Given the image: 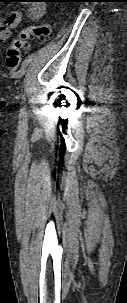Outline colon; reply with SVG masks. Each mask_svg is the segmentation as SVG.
I'll use <instances>...</instances> for the list:
<instances>
[{"label":"colon","instance_id":"colon-1","mask_svg":"<svg viewBox=\"0 0 127 303\" xmlns=\"http://www.w3.org/2000/svg\"><path fill=\"white\" fill-rule=\"evenodd\" d=\"M52 30V23L30 25L24 28L17 38L13 40L6 53V64L9 71L16 70L21 62L22 51L27 49L28 39L48 37Z\"/></svg>","mask_w":127,"mask_h":303}]
</instances>
